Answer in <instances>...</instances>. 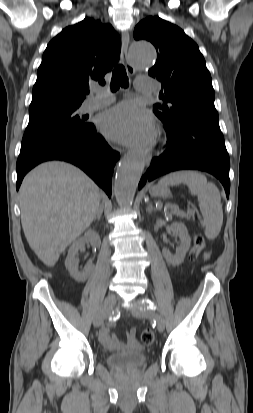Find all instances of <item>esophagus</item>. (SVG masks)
Instances as JSON below:
<instances>
[{
	"label": "esophagus",
	"instance_id": "1",
	"mask_svg": "<svg viewBox=\"0 0 253 413\" xmlns=\"http://www.w3.org/2000/svg\"><path fill=\"white\" fill-rule=\"evenodd\" d=\"M121 42H122L121 57H122V60L125 64V66H126V70H127L128 74L132 76V75L135 74V68L130 63L129 57H128V45H129V33L128 32H123L122 33ZM140 152H141V154L144 155L146 163H149L151 158H152L150 150L142 149V150H140Z\"/></svg>",
	"mask_w": 253,
	"mask_h": 413
}]
</instances>
